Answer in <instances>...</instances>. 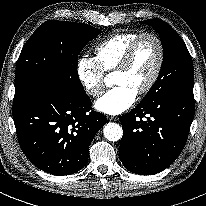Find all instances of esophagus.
Returning a JSON list of instances; mask_svg holds the SVG:
<instances>
[{"label": "esophagus", "mask_w": 206, "mask_h": 206, "mask_svg": "<svg viewBox=\"0 0 206 206\" xmlns=\"http://www.w3.org/2000/svg\"><path fill=\"white\" fill-rule=\"evenodd\" d=\"M108 119H109V120H114V121H116V120H118L119 118H118L117 116H108Z\"/></svg>", "instance_id": "34e87169"}]
</instances>
